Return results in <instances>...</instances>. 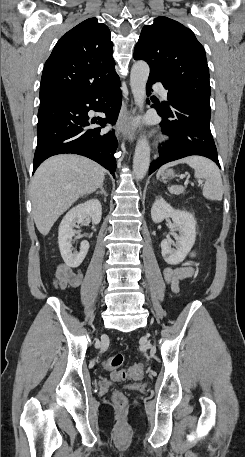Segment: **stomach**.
Wrapping results in <instances>:
<instances>
[{
  "instance_id": "0dacf381",
  "label": "stomach",
  "mask_w": 245,
  "mask_h": 457,
  "mask_svg": "<svg viewBox=\"0 0 245 457\" xmlns=\"http://www.w3.org/2000/svg\"><path fill=\"white\" fill-rule=\"evenodd\" d=\"M161 176H163V178H168V176H175L174 170H172V168H168V170L162 172Z\"/></svg>"
}]
</instances>
